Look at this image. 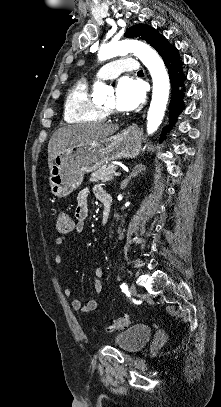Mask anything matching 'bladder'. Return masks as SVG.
Returning <instances> with one entry per match:
<instances>
[{
    "label": "bladder",
    "instance_id": "31cf9c89",
    "mask_svg": "<svg viewBox=\"0 0 221 407\" xmlns=\"http://www.w3.org/2000/svg\"><path fill=\"white\" fill-rule=\"evenodd\" d=\"M151 333V325L139 323L118 332L115 335V340L123 351L133 353L140 351L147 345Z\"/></svg>",
    "mask_w": 221,
    "mask_h": 407
}]
</instances>
